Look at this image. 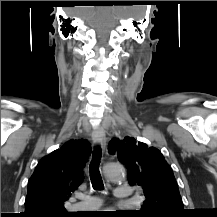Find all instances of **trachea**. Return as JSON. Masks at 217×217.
I'll return each instance as SVG.
<instances>
[{
  "label": "trachea",
  "mask_w": 217,
  "mask_h": 217,
  "mask_svg": "<svg viewBox=\"0 0 217 217\" xmlns=\"http://www.w3.org/2000/svg\"><path fill=\"white\" fill-rule=\"evenodd\" d=\"M100 160H101V149L97 147L93 153L92 161L89 166L90 180L92 183V187L95 190L104 189L103 181L99 171Z\"/></svg>",
  "instance_id": "obj_1"
}]
</instances>
